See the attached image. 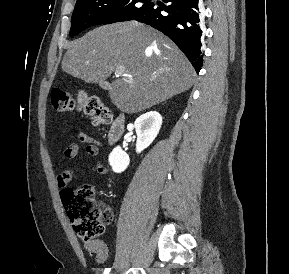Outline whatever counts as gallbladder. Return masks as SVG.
<instances>
[{"instance_id": "gallbladder-1", "label": "gallbladder", "mask_w": 289, "mask_h": 274, "mask_svg": "<svg viewBox=\"0 0 289 274\" xmlns=\"http://www.w3.org/2000/svg\"><path fill=\"white\" fill-rule=\"evenodd\" d=\"M100 87L103 89H109L110 84L106 81H102L101 83H99Z\"/></svg>"}]
</instances>
